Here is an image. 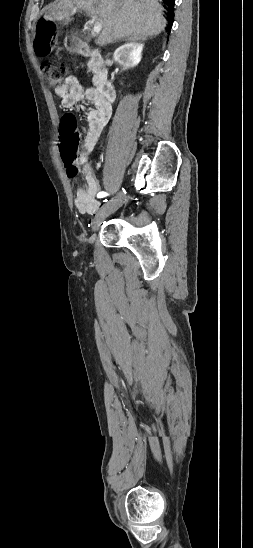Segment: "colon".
<instances>
[{"label":"colon","instance_id":"obj_1","mask_svg":"<svg viewBox=\"0 0 253 548\" xmlns=\"http://www.w3.org/2000/svg\"><path fill=\"white\" fill-rule=\"evenodd\" d=\"M35 42L39 51H49L56 43L55 25L50 22H40L37 26ZM42 71L48 85L54 89L62 86L67 74L66 66L53 60L45 61L42 64ZM78 144L79 135L76 131L74 119L72 116L67 115L62 122L60 153L64 163L68 165L70 175H75L78 171L77 167L73 165L77 158Z\"/></svg>","mask_w":253,"mask_h":548}]
</instances>
